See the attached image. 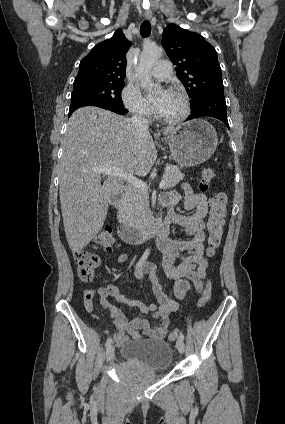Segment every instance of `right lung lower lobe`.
Masks as SVG:
<instances>
[{"mask_svg": "<svg viewBox=\"0 0 285 424\" xmlns=\"http://www.w3.org/2000/svg\"><path fill=\"white\" fill-rule=\"evenodd\" d=\"M84 106H96L100 107L106 110H110L112 112H115L117 114H126L127 110L125 108H121L118 106L111 105L109 103L100 102L97 100H90V99H79V100H73L71 101L70 109H69V116L78 108L84 107Z\"/></svg>", "mask_w": 285, "mask_h": 424, "instance_id": "98d812e1", "label": "right lung lower lobe"}]
</instances>
